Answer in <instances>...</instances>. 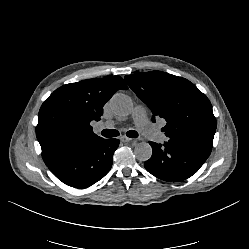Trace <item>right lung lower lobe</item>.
I'll return each instance as SVG.
<instances>
[{
	"label": "right lung lower lobe",
	"instance_id": "obj_1",
	"mask_svg": "<svg viewBox=\"0 0 249 249\" xmlns=\"http://www.w3.org/2000/svg\"><path fill=\"white\" fill-rule=\"evenodd\" d=\"M118 146V139L102 138L95 144L76 148L48 165V168L63 183L75 188H85L109 172Z\"/></svg>",
	"mask_w": 249,
	"mask_h": 249
}]
</instances>
